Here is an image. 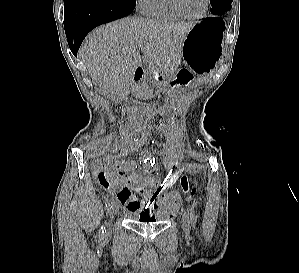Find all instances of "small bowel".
<instances>
[{
    "label": "small bowel",
    "instance_id": "1",
    "mask_svg": "<svg viewBox=\"0 0 299 273\" xmlns=\"http://www.w3.org/2000/svg\"><path fill=\"white\" fill-rule=\"evenodd\" d=\"M134 143V135L127 134L123 141L124 151ZM143 163L151 171L161 167L156 157L148 152H144ZM98 182L116 197L126 213L135 214L142 221L152 220L157 210L173 212L179 204V195L170 192L165 181L143 177L136 173L133 165L118 164L117 170L109 168L107 180L98 179Z\"/></svg>",
    "mask_w": 299,
    "mask_h": 273
}]
</instances>
